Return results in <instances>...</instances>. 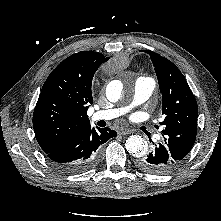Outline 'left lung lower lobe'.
Returning a JSON list of instances; mask_svg holds the SVG:
<instances>
[{"mask_svg": "<svg viewBox=\"0 0 221 221\" xmlns=\"http://www.w3.org/2000/svg\"><path fill=\"white\" fill-rule=\"evenodd\" d=\"M176 159V156L173 155L166 144L158 143L154 144L152 150L147 155L139 157L136 165L141 170L151 174H166L180 165Z\"/></svg>", "mask_w": 221, "mask_h": 221, "instance_id": "obj_1", "label": "left lung lower lobe"}]
</instances>
